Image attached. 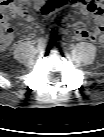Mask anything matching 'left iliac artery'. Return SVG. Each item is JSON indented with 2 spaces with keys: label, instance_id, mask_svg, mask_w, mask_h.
I'll return each instance as SVG.
<instances>
[{
  "label": "left iliac artery",
  "instance_id": "1",
  "mask_svg": "<svg viewBox=\"0 0 104 137\" xmlns=\"http://www.w3.org/2000/svg\"><path fill=\"white\" fill-rule=\"evenodd\" d=\"M62 46H66V44H65V43H62Z\"/></svg>",
  "mask_w": 104,
  "mask_h": 137
}]
</instances>
